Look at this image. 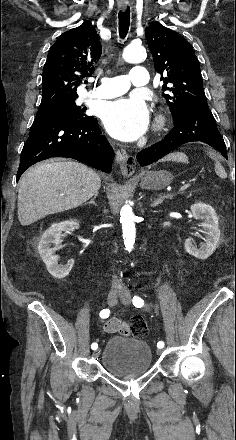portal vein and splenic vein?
<instances>
[{
	"label": "portal vein and splenic vein",
	"mask_w": 236,
	"mask_h": 440,
	"mask_svg": "<svg viewBox=\"0 0 236 440\" xmlns=\"http://www.w3.org/2000/svg\"><path fill=\"white\" fill-rule=\"evenodd\" d=\"M189 187H190V184H185V185H183V186L179 189V192H182V191L186 190V189L189 188Z\"/></svg>",
	"instance_id": "portal-vein-and-splenic-vein-1"
}]
</instances>
